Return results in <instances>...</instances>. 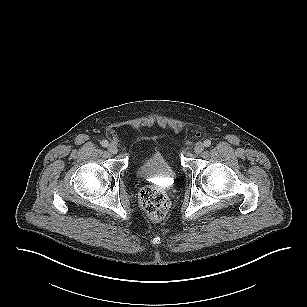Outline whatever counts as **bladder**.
I'll use <instances>...</instances> for the list:
<instances>
[{"instance_id":"obj_1","label":"bladder","mask_w":307,"mask_h":307,"mask_svg":"<svg viewBox=\"0 0 307 307\" xmlns=\"http://www.w3.org/2000/svg\"><path fill=\"white\" fill-rule=\"evenodd\" d=\"M136 174L141 179H173L175 171L161 152H154L136 166Z\"/></svg>"}]
</instances>
